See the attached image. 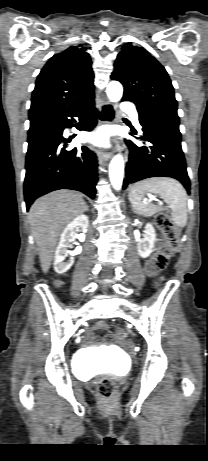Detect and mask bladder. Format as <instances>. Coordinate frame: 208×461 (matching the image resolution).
I'll list each match as a JSON object with an SVG mask.
<instances>
[{
	"label": "bladder",
	"instance_id": "1",
	"mask_svg": "<svg viewBox=\"0 0 208 461\" xmlns=\"http://www.w3.org/2000/svg\"><path fill=\"white\" fill-rule=\"evenodd\" d=\"M80 357L81 359L77 366L81 370H95L97 372L110 371L117 375L126 373V369L121 367V364L117 361L95 360L86 353H80Z\"/></svg>",
	"mask_w": 208,
	"mask_h": 461
}]
</instances>
